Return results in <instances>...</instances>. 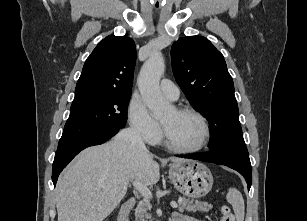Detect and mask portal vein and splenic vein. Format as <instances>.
<instances>
[{"mask_svg": "<svg viewBox=\"0 0 307 221\" xmlns=\"http://www.w3.org/2000/svg\"><path fill=\"white\" fill-rule=\"evenodd\" d=\"M133 186L135 187L136 190H138L143 195V197L146 200H150L152 198V192L147 186L143 185L142 183L138 181H134ZM170 205L172 208L178 207V204L175 201H171Z\"/></svg>", "mask_w": 307, "mask_h": 221, "instance_id": "1", "label": "portal vein and splenic vein"}]
</instances>
